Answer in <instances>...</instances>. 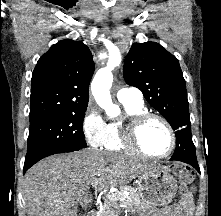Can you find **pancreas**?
<instances>
[{
    "instance_id": "cf45deb5",
    "label": "pancreas",
    "mask_w": 221,
    "mask_h": 216,
    "mask_svg": "<svg viewBox=\"0 0 221 216\" xmlns=\"http://www.w3.org/2000/svg\"><path fill=\"white\" fill-rule=\"evenodd\" d=\"M123 190L128 191L129 195L119 193L115 196L106 197L102 210L97 216H118L119 212L115 207V202L119 201L123 210L130 211L135 206L140 205L141 199L136 189L133 187H124Z\"/></svg>"
}]
</instances>
